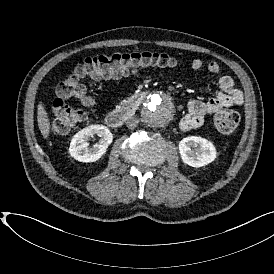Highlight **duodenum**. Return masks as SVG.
Wrapping results in <instances>:
<instances>
[{"label":"duodenum","mask_w":274,"mask_h":274,"mask_svg":"<svg viewBox=\"0 0 274 274\" xmlns=\"http://www.w3.org/2000/svg\"><path fill=\"white\" fill-rule=\"evenodd\" d=\"M144 101L141 96H134L128 100L123 101L118 107L110 111L106 115V123L110 127L116 128L121 126L127 119H129L136 108Z\"/></svg>","instance_id":"duodenum-1"}]
</instances>
